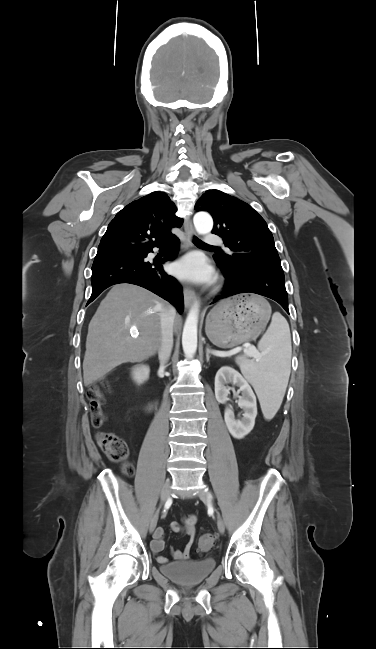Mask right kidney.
I'll return each mask as SVG.
<instances>
[{
    "label": "right kidney",
    "instance_id": "right-kidney-1",
    "mask_svg": "<svg viewBox=\"0 0 376 649\" xmlns=\"http://www.w3.org/2000/svg\"><path fill=\"white\" fill-rule=\"evenodd\" d=\"M150 369L146 365L133 368L132 377L137 384L145 382L149 378Z\"/></svg>",
    "mask_w": 376,
    "mask_h": 649
}]
</instances>
